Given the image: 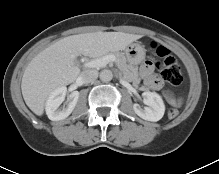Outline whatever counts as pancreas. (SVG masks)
Segmentation results:
<instances>
[{"label": "pancreas", "mask_w": 219, "mask_h": 174, "mask_svg": "<svg viewBox=\"0 0 219 174\" xmlns=\"http://www.w3.org/2000/svg\"><path fill=\"white\" fill-rule=\"evenodd\" d=\"M106 55L115 56L117 65H118L120 71L122 72L123 78L125 80H127L129 82H133V84L135 86H137L139 84L140 78L138 77L137 68H135L132 65L128 64L127 59L123 54H121L119 52H114V53L111 52V53L105 54L104 56H106ZM104 56H100V57H98V59L102 58Z\"/></svg>", "instance_id": "cf45deb5"}]
</instances>
